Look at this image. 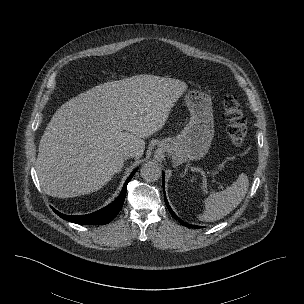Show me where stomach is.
<instances>
[{"label":"stomach","instance_id":"1","mask_svg":"<svg viewBox=\"0 0 304 304\" xmlns=\"http://www.w3.org/2000/svg\"><path fill=\"white\" fill-rule=\"evenodd\" d=\"M185 101L190 121L179 135L163 139L159 147L172 156L175 164L201 159L208 152L213 136L214 121L210 96L199 90L189 91Z\"/></svg>","mask_w":304,"mask_h":304}]
</instances>
